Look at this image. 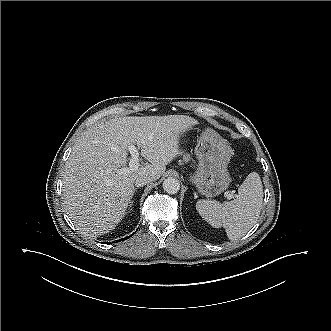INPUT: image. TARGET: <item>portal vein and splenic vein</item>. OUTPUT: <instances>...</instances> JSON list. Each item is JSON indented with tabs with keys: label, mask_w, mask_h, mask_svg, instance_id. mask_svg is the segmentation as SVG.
Returning a JSON list of instances; mask_svg holds the SVG:
<instances>
[{
	"label": "portal vein and splenic vein",
	"mask_w": 331,
	"mask_h": 331,
	"mask_svg": "<svg viewBox=\"0 0 331 331\" xmlns=\"http://www.w3.org/2000/svg\"><path fill=\"white\" fill-rule=\"evenodd\" d=\"M131 154V160L129 162L130 170H137L139 167V152L134 145L129 146L128 148ZM232 195L228 194V199H231Z\"/></svg>",
	"instance_id": "18ae733b"
}]
</instances>
